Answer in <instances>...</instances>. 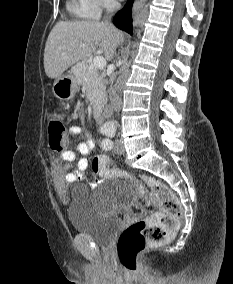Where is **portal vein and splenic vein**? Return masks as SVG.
Masks as SVG:
<instances>
[{
    "label": "portal vein and splenic vein",
    "instance_id": "1",
    "mask_svg": "<svg viewBox=\"0 0 233 284\" xmlns=\"http://www.w3.org/2000/svg\"><path fill=\"white\" fill-rule=\"evenodd\" d=\"M92 65L96 69H101V68L105 67L106 60L101 56H97L93 59Z\"/></svg>",
    "mask_w": 233,
    "mask_h": 284
}]
</instances>
